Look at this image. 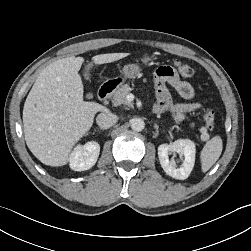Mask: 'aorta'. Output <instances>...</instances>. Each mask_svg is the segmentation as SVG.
<instances>
[{
	"instance_id": "1",
	"label": "aorta",
	"mask_w": 251,
	"mask_h": 251,
	"mask_svg": "<svg viewBox=\"0 0 251 251\" xmlns=\"http://www.w3.org/2000/svg\"><path fill=\"white\" fill-rule=\"evenodd\" d=\"M130 124H131L132 130L137 131V132L142 131L145 127V123L143 119L141 118H133Z\"/></svg>"
}]
</instances>
